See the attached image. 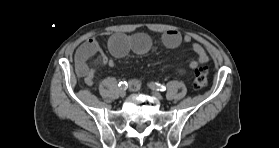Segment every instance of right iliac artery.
Segmentation results:
<instances>
[{
  "label": "right iliac artery",
  "instance_id": "82829eb1",
  "mask_svg": "<svg viewBox=\"0 0 279 148\" xmlns=\"http://www.w3.org/2000/svg\"><path fill=\"white\" fill-rule=\"evenodd\" d=\"M119 86L121 87V89H126L127 88V83L125 82V81H121L120 83H119Z\"/></svg>",
  "mask_w": 279,
  "mask_h": 148
}]
</instances>
